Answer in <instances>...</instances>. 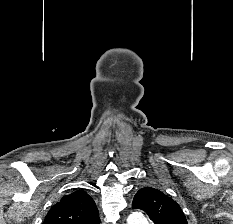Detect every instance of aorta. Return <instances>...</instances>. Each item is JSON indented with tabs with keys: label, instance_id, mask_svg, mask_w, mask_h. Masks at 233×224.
I'll return each mask as SVG.
<instances>
[{
	"label": "aorta",
	"instance_id": "1",
	"mask_svg": "<svg viewBox=\"0 0 233 224\" xmlns=\"http://www.w3.org/2000/svg\"><path fill=\"white\" fill-rule=\"evenodd\" d=\"M127 224H148L145 216L140 212H134L129 215Z\"/></svg>",
	"mask_w": 233,
	"mask_h": 224
}]
</instances>
